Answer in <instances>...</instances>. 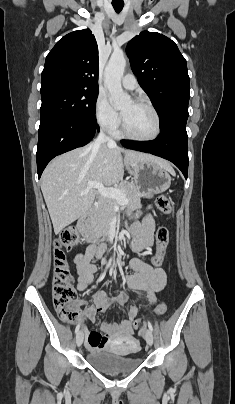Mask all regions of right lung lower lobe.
<instances>
[{"label": "right lung lower lobe", "mask_w": 235, "mask_h": 404, "mask_svg": "<svg viewBox=\"0 0 235 404\" xmlns=\"http://www.w3.org/2000/svg\"><path fill=\"white\" fill-rule=\"evenodd\" d=\"M99 130L97 121L53 116L41 119L36 154L38 177L55 156L89 143Z\"/></svg>", "instance_id": "obj_1"}]
</instances>
